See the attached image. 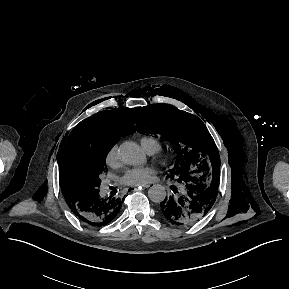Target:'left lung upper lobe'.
<instances>
[{"label": "left lung upper lobe", "instance_id": "left-lung-upper-lobe-1", "mask_svg": "<svg viewBox=\"0 0 289 289\" xmlns=\"http://www.w3.org/2000/svg\"><path fill=\"white\" fill-rule=\"evenodd\" d=\"M137 131L158 134L170 142L178 154L168 177L179 183L191 178L219 180L220 157L204 123L192 114L167 104L138 107ZM141 116V117H140Z\"/></svg>", "mask_w": 289, "mask_h": 289}]
</instances>
